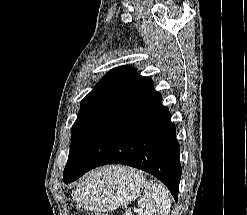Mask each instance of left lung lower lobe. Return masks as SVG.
<instances>
[{
	"label": "left lung lower lobe",
	"mask_w": 247,
	"mask_h": 215,
	"mask_svg": "<svg viewBox=\"0 0 247 215\" xmlns=\"http://www.w3.org/2000/svg\"><path fill=\"white\" fill-rule=\"evenodd\" d=\"M176 129L151 80L100 138L84 140L67 162L64 182L107 164L129 165L161 180L178 199L181 165Z\"/></svg>",
	"instance_id": "1"
}]
</instances>
